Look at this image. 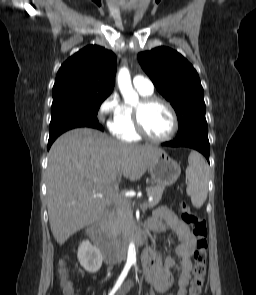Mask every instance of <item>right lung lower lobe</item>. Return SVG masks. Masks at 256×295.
Returning <instances> with one entry per match:
<instances>
[{"label": "right lung lower lobe", "mask_w": 256, "mask_h": 295, "mask_svg": "<svg viewBox=\"0 0 256 295\" xmlns=\"http://www.w3.org/2000/svg\"><path fill=\"white\" fill-rule=\"evenodd\" d=\"M78 127H91V128H96L99 130H104L103 127L99 124L97 119H90L82 122H75V123H66V124H60L57 126H54L49 129V141H48V150L54 140L61 135L63 132L73 129V128H78Z\"/></svg>", "instance_id": "obj_1"}]
</instances>
